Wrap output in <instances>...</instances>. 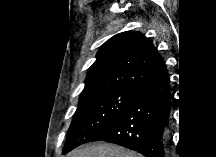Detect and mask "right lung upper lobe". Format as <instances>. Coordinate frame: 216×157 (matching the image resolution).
I'll return each instance as SVG.
<instances>
[{
    "mask_svg": "<svg viewBox=\"0 0 216 157\" xmlns=\"http://www.w3.org/2000/svg\"><path fill=\"white\" fill-rule=\"evenodd\" d=\"M166 66L153 43L138 31L119 33L106 41L88 69L80 99L116 89L135 88L153 79Z\"/></svg>",
    "mask_w": 216,
    "mask_h": 157,
    "instance_id": "cb5924a9",
    "label": "right lung upper lobe"
}]
</instances>
